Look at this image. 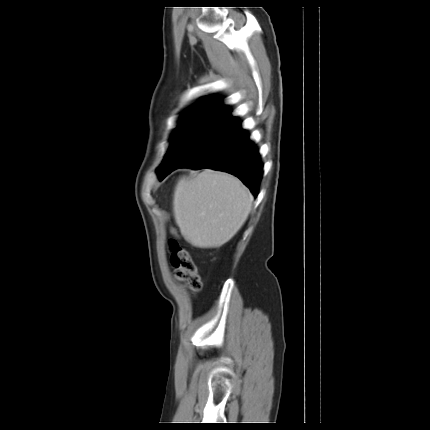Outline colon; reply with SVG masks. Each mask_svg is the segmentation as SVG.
<instances>
[{
	"instance_id": "1",
	"label": "colon",
	"mask_w": 430,
	"mask_h": 430,
	"mask_svg": "<svg viewBox=\"0 0 430 430\" xmlns=\"http://www.w3.org/2000/svg\"><path fill=\"white\" fill-rule=\"evenodd\" d=\"M168 249L176 280L183 283L192 292L200 291L202 282L188 250L181 246L176 239L168 241Z\"/></svg>"
}]
</instances>
